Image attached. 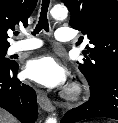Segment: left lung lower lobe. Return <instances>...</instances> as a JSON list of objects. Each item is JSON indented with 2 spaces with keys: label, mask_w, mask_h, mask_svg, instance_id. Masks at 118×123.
<instances>
[{
  "label": "left lung lower lobe",
  "mask_w": 118,
  "mask_h": 123,
  "mask_svg": "<svg viewBox=\"0 0 118 123\" xmlns=\"http://www.w3.org/2000/svg\"><path fill=\"white\" fill-rule=\"evenodd\" d=\"M89 85V101L69 110L61 123H74L95 117L118 120V70L105 73L96 83L89 82Z\"/></svg>",
  "instance_id": "0a47b994"
}]
</instances>
